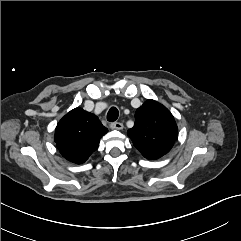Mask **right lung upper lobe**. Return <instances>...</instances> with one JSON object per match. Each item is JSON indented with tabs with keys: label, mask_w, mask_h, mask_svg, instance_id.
I'll list each match as a JSON object with an SVG mask.
<instances>
[{
	"label": "right lung upper lobe",
	"mask_w": 241,
	"mask_h": 241,
	"mask_svg": "<svg viewBox=\"0 0 241 241\" xmlns=\"http://www.w3.org/2000/svg\"><path fill=\"white\" fill-rule=\"evenodd\" d=\"M107 132L97 116L75 108L57 124L54 140L65 159L82 164L98 148L100 138Z\"/></svg>",
	"instance_id": "1"
}]
</instances>
